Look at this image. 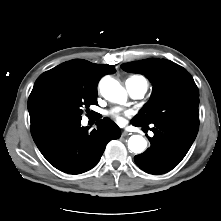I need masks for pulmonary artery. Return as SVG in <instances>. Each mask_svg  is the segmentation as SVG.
I'll list each match as a JSON object with an SVG mask.
<instances>
[{"label":"pulmonary artery","instance_id":"pulmonary-artery-1","mask_svg":"<svg viewBox=\"0 0 221 221\" xmlns=\"http://www.w3.org/2000/svg\"><path fill=\"white\" fill-rule=\"evenodd\" d=\"M125 87L133 99H141L147 91V84L137 79H128Z\"/></svg>","mask_w":221,"mask_h":221}]
</instances>
